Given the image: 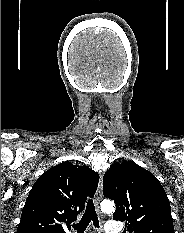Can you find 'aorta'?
<instances>
[{
	"label": "aorta",
	"instance_id": "obj_1",
	"mask_svg": "<svg viewBox=\"0 0 184 233\" xmlns=\"http://www.w3.org/2000/svg\"><path fill=\"white\" fill-rule=\"evenodd\" d=\"M101 210L105 213H112L114 211V203L109 200H104L100 204Z\"/></svg>",
	"mask_w": 184,
	"mask_h": 233
}]
</instances>
